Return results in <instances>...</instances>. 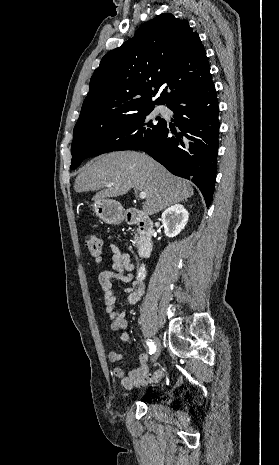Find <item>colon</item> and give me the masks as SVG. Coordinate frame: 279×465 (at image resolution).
Segmentation results:
<instances>
[{
	"instance_id": "5ec220e1",
	"label": "colon",
	"mask_w": 279,
	"mask_h": 465,
	"mask_svg": "<svg viewBox=\"0 0 279 465\" xmlns=\"http://www.w3.org/2000/svg\"><path fill=\"white\" fill-rule=\"evenodd\" d=\"M85 245L89 254L99 260L102 257V240L98 234L91 233L85 238Z\"/></svg>"
}]
</instances>
